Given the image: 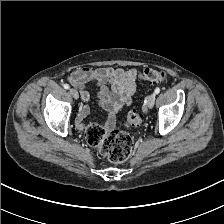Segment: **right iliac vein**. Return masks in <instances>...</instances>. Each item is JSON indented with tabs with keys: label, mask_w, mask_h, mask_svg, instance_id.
Returning a JSON list of instances; mask_svg holds the SVG:
<instances>
[{
	"label": "right iliac vein",
	"mask_w": 224,
	"mask_h": 224,
	"mask_svg": "<svg viewBox=\"0 0 224 224\" xmlns=\"http://www.w3.org/2000/svg\"><path fill=\"white\" fill-rule=\"evenodd\" d=\"M70 93L71 95L73 96L74 99H78L79 98V94H78V91L74 88H71L70 89Z\"/></svg>",
	"instance_id": "63e3f726"
}]
</instances>
